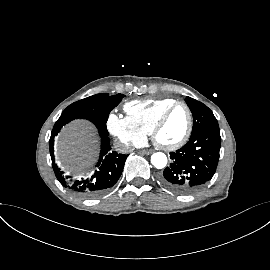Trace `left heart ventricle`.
<instances>
[{
    "label": "left heart ventricle",
    "mask_w": 270,
    "mask_h": 270,
    "mask_svg": "<svg viewBox=\"0 0 270 270\" xmlns=\"http://www.w3.org/2000/svg\"><path fill=\"white\" fill-rule=\"evenodd\" d=\"M188 125V115L184 107L179 106L173 110L158 134L163 144L177 142L185 134Z\"/></svg>",
    "instance_id": "left-heart-ventricle-1"
}]
</instances>
